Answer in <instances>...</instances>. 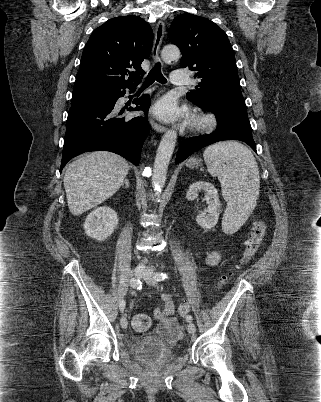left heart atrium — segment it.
Here are the masks:
<instances>
[{"instance_id": "39dd6f15", "label": "left heart atrium", "mask_w": 321, "mask_h": 402, "mask_svg": "<svg viewBox=\"0 0 321 402\" xmlns=\"http://www.w3.org/2000/svg\"><path fill=\"white\" fill-rule=\"evenodd\" d=\"M152 111L156 117L168 122L177 121L188 116L185 109L178 108L175 102L169 98L159 101Z\"/></svg>"}]
</instances>
